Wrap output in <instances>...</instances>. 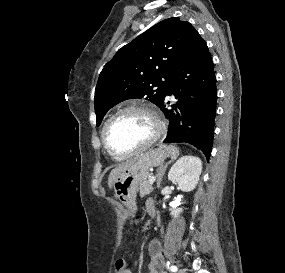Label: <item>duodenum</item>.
<instances>
[{
	"label": "duodenum",
	"mask_w": 285,
	"mask_h": 273,
	"mask_svg": "<svg viewBox=\"0 0 285 273\" xmlns=\"http://www.w3.org/2000/svg\"><path fill=\"white\" fill-rule=\"evenodd\" d=\"M151 215H152V216H155V215H156V211H153V212L151 213Z\"/></svg>",
	"instance_id": "duodenum-1"
}]
</instances>
